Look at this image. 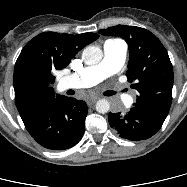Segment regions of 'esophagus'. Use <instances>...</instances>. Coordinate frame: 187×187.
I'll return each instance as SVG.
<instances>
[{
    "mask_svg": "<svg viewBox=\"0 0 187 187\" xmlns=\"http://www.w3.org/2000/svg\"><path fill=\"white\" fill-rule=\"evenodd\" d=\"M97 99H98V97L88 98L86 100V102H87L88 106H91L97 101Z\"/></svg>",
    "mask_w": 187,
    "mask_h": 187,
    "instance_id": "esophagus-1",
    "label": "esophagus"
}]
</instances>
